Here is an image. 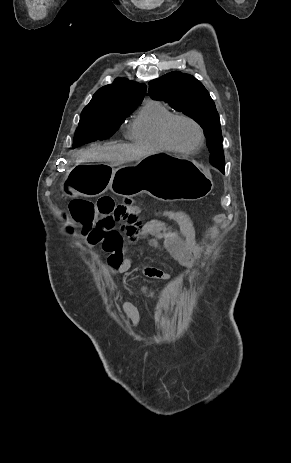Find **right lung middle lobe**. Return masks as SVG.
<instances>
[{"label": "right lung middle lobe", "instance_id": "dd1d6c3e", "mask_svg": "<svg viewBox=\"0 0 291 463\" xmlns=\"http://www.w3.org/2000/svg\"><path fill=\"white\" fill-rule=\"evenodd\" d=\"M137 105L139 104L129 107L102 106L83 109L75 132L73 148L109 138Z\"/></svg>", "mask_w": 291, "mask_h": 463}]
</instances>
